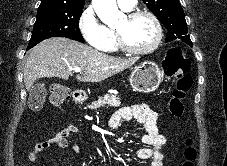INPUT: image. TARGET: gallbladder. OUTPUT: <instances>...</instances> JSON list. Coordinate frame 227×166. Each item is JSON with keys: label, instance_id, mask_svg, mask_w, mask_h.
Wrapping results in <instances>:
<instances>
[{"label": "gallbladder", "instance_id": "1", "mask_svg": "<svg viewBox=\"0 0 227 166\" xmlns=\"http://www.w3.org/2000/svg\"><path fill=\"white\" fill-rule=\"evenodd\" d=\"M46 97V89L43 83L33 85L29 91L28 106L32 110L43 106Z\"/></svg>", "mask_w": 227, "mask_h": 166}]
</instances>
